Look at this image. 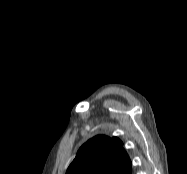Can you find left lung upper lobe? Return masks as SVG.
I'll use <instances>...</instances> for the list:
<instances>
[{
	"label": "left lung upper lobe",
	"instance_id": "left-lung-upper-lobe-1",
	"mask_svg": "<svg viewBox=\"0 0 187 174\" xmlns=\"http://www.w3.org/2000/svg\"><path fill=\"white\" fill-rule=\"evenodd\" d=\"M117 137L98 135L81 146L66 174H131V161Z\"/></svg>",
	"mask_w": 187,
	"mask_h": 174
}]
</instances>
